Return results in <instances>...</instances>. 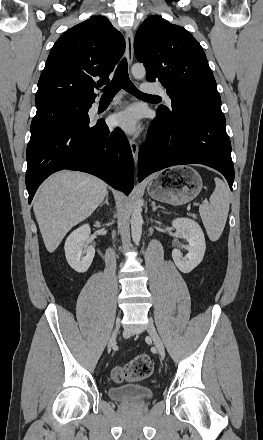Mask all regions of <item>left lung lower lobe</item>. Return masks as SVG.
<instances>
[{"instance_id":"0a47b994","label":"left lung lower lobe","mask_w":263,"mask_h":440,"mask_svg":"<svg viewBox=\"0 0 263 440\" xmlns=\"http://www.w3.org/2000/svg\"><path fill=\"white\" fill-rule=\"evenodd\" d=\"M221 109L178 110L170 116L157 112L150 138L138 157V181L164 168L198 163L212 167L234 181L231 143Z\"/></svg>"}]
</instances>
